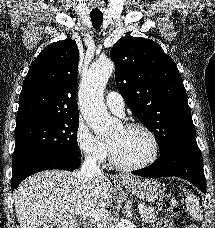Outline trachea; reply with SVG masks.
Listing matches in <instances>:
<instances>
[{"mask_svg":"<svg viewBox=\"0 0 215 228\" xmlns=\"http://www.w3.org/2000/svg\"><path fill=\"white\" fill-rule=\"evenodd\" d=\"M90 17H91L94 28H96V30H98L100 28V26L102 25V21H103L102 13L91 14Z\"/></svg>","mask_w":215,"mask_h":228,"instance_id":"trachea-1","label":"trachea"}]
</instances>
